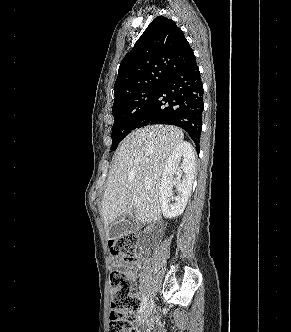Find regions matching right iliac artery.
<instances>
[{"label":"right iliac artery","mask_w":291,"mask_h":332,"mask_svg":"<svg viewBox=\"0 0 291 332\" xmlns=\"http://www.w3.org/2000/svg\"><path fill=\"white\" fill-rule=\"evenodd\" d=\"M147 302H148L147 297H144L143 300H142L140 309L138 310L139 313L143 312V310L146 308Z\"/></svg>","instance_id":"right-iliac-artery-1"}]
</instances>
